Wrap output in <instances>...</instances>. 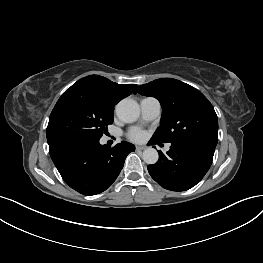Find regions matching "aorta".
<instances>
[{"instance_id":"1","label":"aorta","mask_w":263,"mask_h":263,"mask_svg":"<svg viewBox=\"0 0 263 263\" xmlns=\"http://www.w3.org/2000/svg\"><path fill=\"white\" fill-rule=\"evenodd\" d=\"M116 114L121 121L132 123L138 119L140 108L136 101L123 99L116 105ZM142 158L145 163L152 165L158 161L159 155L156 149L149 147L143 151Z\"/></svg>"}]
</instances>
